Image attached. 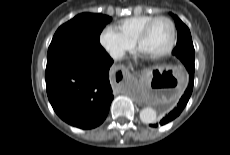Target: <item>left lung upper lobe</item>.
I'll return each mask as SVG.
<instances>
[{
	"label": "left lung upper lobe",
	"mask_w": 230,
	"mask_h": 155,
	"mask_svg": "<svg viewBox=\"0 0 230 155\" xmlns=\"http://www.w3.org/2000/svg\"><path fill=\"white\" fill-rule=\"evenodd\" d=\"M175 20L178 40L175 49L172 51V54L177 56H186L190 60H194V46L192 43V38L189 28L176 16L173 15Z\"/></svg>",
	"instance_id": "1"
}]
</instances>
